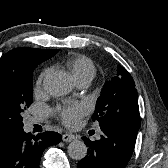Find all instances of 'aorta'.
<instances>
[{"label": "aorta", "mask_w": 168, "mask_h": 168, "mask_svg": "<svg viewBox=\"0 0 168 168\" xmlns=\"http://www.w3.org/2000/svg\"><path fill=\"white\" fill-rule=\"evenodd\" d=\"M43 86L50 95L59 97L67 95L72 90V81L66 72L54 71L44 78ZM67 149L69 156L74 160H81L87 154V147L80 140L72 141Z\"/></svg>", "instance_id": "aorta-1"}]
</instances>
